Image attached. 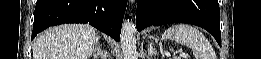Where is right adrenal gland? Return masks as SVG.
I'll return each instance as SVG.
<instances>
[{"label":"right adrenal gland","mask_w":261,"mask_h":59,"mask_svg":"<svg viewBox=\"0 0 261 59\" xmlns=\"http://www.w3.org/2000/svg\"><path fill=\"white\" fill-rule=\"evenodd\" d=\"M100 38L97 37L96 42H95V49L93 51V56L97 59L98 56L101 57V59H106L107 52L102 50L100 47Z\"/></svg>","instance_id":"2a0ac1e0"}]
</instances>
